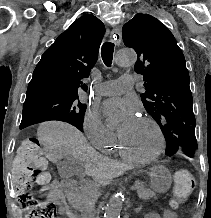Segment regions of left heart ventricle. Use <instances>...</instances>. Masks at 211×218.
Wrapping results in <instances>:
<instances>
[{
  "label": "left heart ventricle",
  "instance_id": "1",
  "mask_svg": "<svg viewBox=\"0 0 211 218\" xmlns=\"http://www.w3.org/2000/svg\"><path fill=\"white\" fill-rule=\"evenodd\" d=\"M125 146L140 156H149L159 147V138L150 122L140 118L127 132L120 134Z\"/></svg>",
  "mask_w": 211,
  "mask_h": 218
}]
</instances>
